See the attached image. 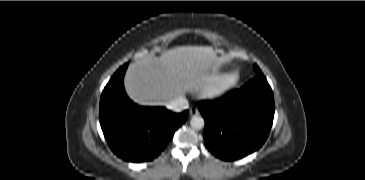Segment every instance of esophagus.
I'll return each instance as SVG.
<instances>
[{"instance_id":"34e87169","label":"esophagus","mask_w":365,"mask_h":180,"mask_svg":"<svg viewBox=\"0 0 365 180\" xmlns=\"http://www.w3.org/2000/svg\"><path fill=\"white\" fill-rule=\"evenodd\" d=\"M189 113H190L191 116H195V115L199 114V111L196 107H191L190 110H189Z\"/></svg>"}]
</instances>
